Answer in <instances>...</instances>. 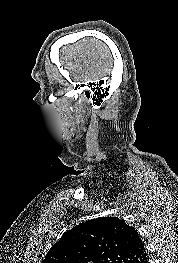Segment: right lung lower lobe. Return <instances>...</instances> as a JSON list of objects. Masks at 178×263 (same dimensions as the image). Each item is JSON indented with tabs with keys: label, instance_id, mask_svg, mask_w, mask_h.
<instances>
[{
	"label": "right lung lower lobe",
	"instance_id": "right-lung-lower-lobe-1",
	"mask_svg": "<svg viewBox=\"0 0 178 263\" xmlns=\"http://www.w3.org/2000/svg\"><path fill=\"white\" fill-rule=\"evenodd\" d=\"M146 263H149V259L146 261Z\"/></svg>",
	"mask_w": 178,
	"mask_h": 263
}]
</instances>
